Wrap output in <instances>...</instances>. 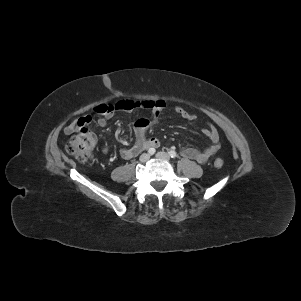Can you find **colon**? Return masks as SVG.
<instances>
[{
    "label": "colon",
    "instance_id": "colon-1",
    "mask_svg": "<svg viewBox=\"0 0 301 301\" xmlns=\"http://www.w3.org/2000/svg\"><path fill=\"white\" fill-rule=\"evenodd\" d=\"M94 145V134L90 130L83 128L70 138L66 144V151L78 161L87 162L92 156ZM223 164L224 162L220 158H217L214 161V166L216 168H221Z\"/></svg>",
    "mask_w": 301,
    "mask_h": 301
}]
</instances>
